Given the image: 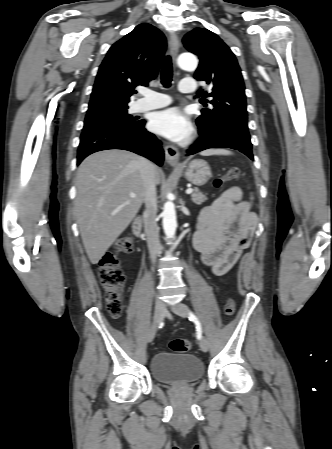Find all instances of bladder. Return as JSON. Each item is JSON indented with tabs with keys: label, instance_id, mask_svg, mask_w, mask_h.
<instances>
[{
	"label": "bladder",
	"instance_id": "obj_1",
	"mask_svg": "<svg viewBox=\"0 0 332 449\" xmlns=\"http://www.w3.org/2000/svg\"><path fill=\"white\" fill-rule=\"evenodd\" d=\"M151 373L161 384L185 385L202 378L204 366L193 354L161 352L151 360Z\"/></svg>",
	"mask_w": 332,
	"mask_h": 449
}]
</instances>
